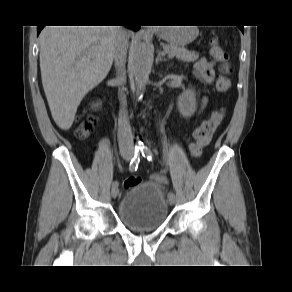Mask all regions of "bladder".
Here are the masks:
<instances>
[{
	"instance_id": "obj_1",
	"label": "bladder",
	"mask_w": 292,
	"mask_h": 292,
	"mask_svg": "<svg viewBox=\"0 0 292 292\" xmlns=\"http://www.w3.org/2000/svg\"><path fill=\"white\" fill-rule=\"evenodd\" d=\"M168 213L164 193L156 182L128 188L118 203V218L132 232L158 230L166 222Z\"/></svg>"
}]
</instances>
